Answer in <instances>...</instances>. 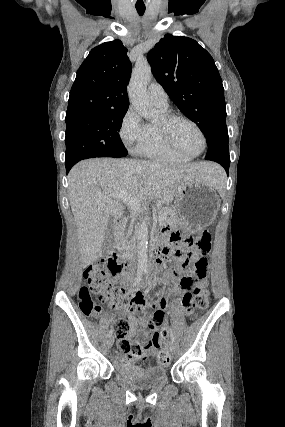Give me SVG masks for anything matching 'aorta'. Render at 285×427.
Segmentation results:
<instances>
[{
  "instance_id": "obj_1",
  "label": "aorta",
  "mask_w": 285,
  "mask_h": 427,
  "mask_svg": "<svg viewBox=\"0 0 285 427\" xmlns=\"http://www.w3.org/2000/svg\"><path fill=\"white\" fill-rule=\"evenodd\" d=\"M152 78L151 67L148 63H137L132 71L131 79L128 85L129 99L138 111L146 119L154 117V111L147 95V84ZM148 223L143 221L138 230L137 252L138 265L140 269L147 268L148 256Z\"/></svg>"
}]
</instances>
